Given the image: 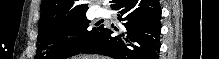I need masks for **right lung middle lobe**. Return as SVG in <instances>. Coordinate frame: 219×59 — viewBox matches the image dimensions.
Instances as JSON below:
<instances>
[{
  "mask_svg": "<svg viewBox=\"0 0 219 59\" xmlns=\"http://www.w3.org/2000/svg\"><path fill=\"white\" fill-rule=\"evenodd\" d=\"M104 26L90 28L86 14L54 20L38 27L35 59H65L80 53L91 44ZM68 35H78L68 38Z\"/></svg>",
  "mask_w": 219,
  "mask_h": 59,
  "instance_id": "right-lung-middle-lobe-1",
  "label": "right lung middle lobe"
}]
</instances>
